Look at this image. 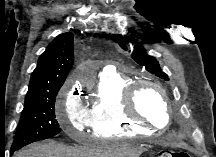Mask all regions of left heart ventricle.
<instances>
[{"mask_svg":"<svg viewBox=\"0 0 216 157\" xmlns=\"http://www.w3.org/2000/svg\"><path fill=\"white\" fill-rule=\"evenodd\" d=\"M136 107L140 114L149 118L158 126L167 121L166 110L159 92L149 86H144L138 93Z\"/></svg>","mask_w":216,"mask_h":157,"instance_id":"obj_1","label":"left heart ventricle"}]
</instances>
